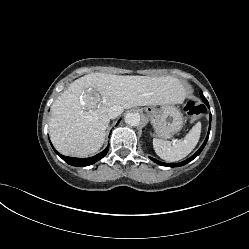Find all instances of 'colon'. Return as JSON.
Instances as JSON below:
<instances>
[{"mask_svg":"<svg viewBox=\"0 0 249 249\" xmlns=\"http://www.w3.org/2000/svg\"><path fill=\"white\" fill-rule=\"evenodd\" d=\"M184 111L189 115L191 121H196L205 112L204 105L194 99L188 100L184 105Z\"/></svg>","mask_w":249,"mask_h":249,"instance_id":"obj_1","label":"colon"}]
</instances>
